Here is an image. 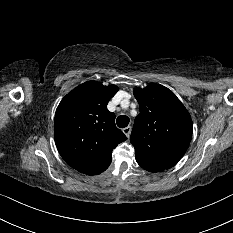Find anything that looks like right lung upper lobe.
Returning a JSON list of instances; mask_svg holds the SVG:
<instances>
[{
  "instance_id": "obj_1",
  "label": "right lung upper lobe",
  "mask_w": 233,
  "mask_h": 233,
  "mask_svg": "<svg viewBox=\"0 0 233 233\" xmlns=\"http://www.w3.org/2000/svg\"><path fill=\"white\" fill-rule=\"evenodd\" d=\"M115 85L87 81L69 92L55 114L54 137L65 162L77 171L97 175L105 171L112 150L127 137L115 126L107 104L116 94Z\"/></svg>"
}]
</instances>
